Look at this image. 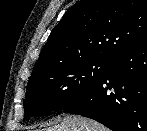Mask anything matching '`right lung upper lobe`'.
<instances>
[{"instance_id": "1", "label": "right lung upper lobe", "mask_w": 147, "mask_h": 131, "mask_svg": "<svg viewBox=\"0 0 147 131\" xmlns=\"http://www.w3.org/2000/svg\"><path fill=\"white\" fill-rule=\"evenodd\" d=\"M147 39V0H81L52 30L32 76L92 59L113 60Z\"/></svg>"}]
</instances>
